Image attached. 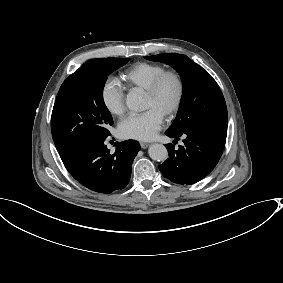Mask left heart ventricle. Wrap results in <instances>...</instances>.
<instances>
[{
  "label": "left heart ventricle",
  "mask_w": 283,
  "mask_h": 283,
  "mask_svg": "<svg viewBox=\"0 0 283 283\" xmlns=\"http://www.w3.org/2000/svg\"><path fill=\"white\" fill-rule=\"evenodd\" d=\"M176 92V85L173 79L168 78L164 81L160 92L156 96H148L144 94L143 109L154 108L165 114L168 107L171 105Z\"/></svg>",
  "instance_id": "1"
}]
</instances>
